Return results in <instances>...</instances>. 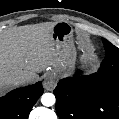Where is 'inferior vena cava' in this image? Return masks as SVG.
I'll list each match as a JSON object with an SVG mask.
<instances>
[{"label":"inferior vena cava","mask_w":119,"mask_h":119,"mask_svg":"<svg viewBox=\"0 0 119 119\" xmlns=\"http://www.w3.org/2000/svg\"><path fill=\"white\" fill-rule=\"evenodd\" d=\"M30 81V76L28 75H21L16 78L15 85L27 84Z\"/></svg>","instance_id":"602c4592"}]
</instances>
